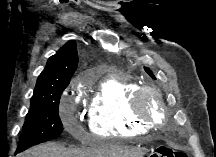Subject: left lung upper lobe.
<instances>
[{
	"label": "left lung upper lobe",
	"mask_w": 216,
	"mask_h": 157,
	"mask_svg": "<svg viewBox=\"0 0 216 157\" xmlns=\"http://www.w3.org/2000/svg\"><path fill=\"white\" fill-rule=\"evenodd\" d=\"M144 69L152 78L155 79L154 75L152 74V72L148 68L145 67Z\"/></svg>",
	"instance_id": "obj_1"
}]
</instances>
